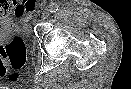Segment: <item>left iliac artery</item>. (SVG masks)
<instances>
[{"instance_id":"obj_1","label":"left iliac artery","mask_w":131,"mask_h":89,"mask_svg":"<svg viewBox=\"0 0 131 89\" xmlns=\"http://www.w3.org/2000/svg\"><path fill=\"white\" fill-rule=\"evenodd\" d=\"M48 8L51 13H54L59 10V6L54 2H51Z\"/></svg>"}]
</instances>
